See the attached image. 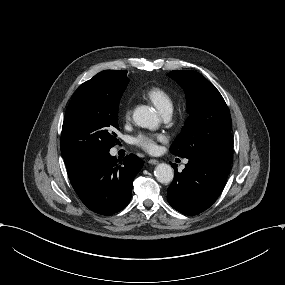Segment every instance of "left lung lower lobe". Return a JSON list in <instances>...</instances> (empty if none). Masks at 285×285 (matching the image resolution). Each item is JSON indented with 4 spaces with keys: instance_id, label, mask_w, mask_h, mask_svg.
I'll return each instance as SVG.
<instances>
[{
    "instance_id": "0a47b994",
    "label": "left lung lower lobe",
    "mask_w": 285,
    "mask_h": 285,
    "mask_svg": "<svg viewBox=\"0 0 285 285\" xmlns=\"http://www.w3.org/2000/svg\"><path fill=\"white\" fill-rule=\"evenodd\" d=\"M188 159L181 173L175 169L174 180L167 189V200L175 210L197 215L208 209L220 195L231 161L214 156Z\"/></svg>"
}]
</instances>
